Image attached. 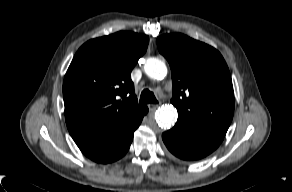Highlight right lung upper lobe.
<instances>
[{
	"instance_id": "cb5924a9",
	"label": "right lung upper lobe",
	"mask_w": 292,
	"mask_h": 192,
	"mask_svg": "<svg viewBox=\"0 0 292 192\" xmlns=\"http://www.w3.org/2000/svg\"><path fill=\"white\" fill-rule=\"evenodd\" d=\"M148 42L146 35L120 31L79 48L63 82L70 134L114 129L146 110L137 103L131 71Z\"/></svg>"
}]
</instances>
